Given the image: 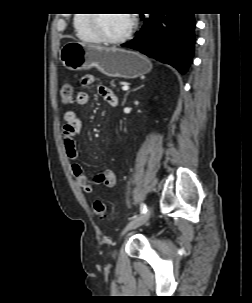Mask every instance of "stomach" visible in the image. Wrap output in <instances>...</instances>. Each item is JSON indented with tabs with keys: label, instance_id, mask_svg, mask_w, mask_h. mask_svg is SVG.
I'll use <instances>...</instances> for the list:
<instances>
[{
	"label": "stomach",
	"instance_id": "0dacf381",
	"mask_svg": "<svg viewBox=\"0 0 252 303\" xmlns=\"http://www.w3.org/2000/svg\"><path fill=\"white\" fill-rule=\"evenodd\" d=\"M63 65L74 71L97 68L109 77L134 79L150 72L151 62L141 54L80 41L67 42L59 53Z\"/></svg>",
	"mask_w": 252,
	"mask_h": 303
}]
</instances>
